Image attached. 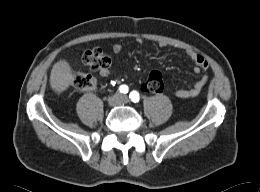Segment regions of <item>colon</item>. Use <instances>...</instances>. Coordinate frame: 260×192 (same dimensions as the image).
I'll use <instances>...</instances> for the list:
<instances>
[{"label": "colon", "instance_id": "obj_1", "mask_svg": "<svg viewBox=\"0 0 260 192\" xmlns=\"http://www.w3.org/2000/svg\"><path fill=\"white\" fill-rule=\"evenodd\" d=\"M82 61L90 69L100 71L108 68L110 58L105 55L99 48H91L86 50L82 55ZM75 87L82 91H91L96 88L97 82L95 78L85 72H77L72 75ZM142 89L145 93H160L164 89V81L162 74L158 71L150 73L146 81L143 83Z\"/></svg>", "mask_w": 260, "mask_h": 192}]
</instances>
